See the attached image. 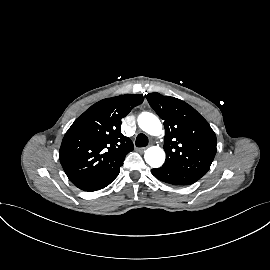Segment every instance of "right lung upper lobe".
<instances>
[{
    "instance_id": "cb5924a9",
    "label": "right lung upper lobe",
    "mask_w": 270,
    "mask_h": 270,
    "mask_svg": "<svg viewBox=\"0 0 270 270\" xmlns=\"http://www.w3.org/2000/svg\"><path fill=\"white\" fill-rule=\"evenodd\" d=\"M143 100L141 94L103 99L74 121L59 151L61 165L72 183L113 172L123 165L133 143L122 135L121 119Z\"/></svg>"
}]
</instances>
